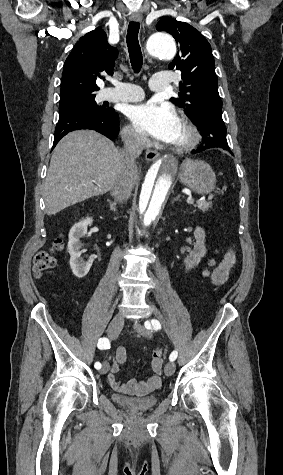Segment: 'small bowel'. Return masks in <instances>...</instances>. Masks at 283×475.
I'll use <instances>...</instances> for the list:
<instances>
[{
  "mask_svg": "<svg viewBox=\"0 0 283 475\" xmlns=\"http://www.w3.org/2000/svg\"><path fill=\"white\" fill-rule=\"evenodd\" d=\"M236 260H237L236 251L234 250V248L229 247L226 250L222 261L219 263L217 270L213 271V273L210 274V276H205V277L209 278L211 282L215 285L224 284L227 281L230 271L232 267L235 265ZM126 359H127L126 350L123 347H119L116 351V357L113 363L111 364L110 372L107 375L108 383L115 390L124 389V386H122L120 382L117 380V374L119 373L121 366L126 362ZM161 375H162V369H153V375L148 379V383L151 384L152 386L158 385L161 381ZM130 382L134 383L135 379L131 378ZM140 382L144 383L145 379L141 378Z\"/></svg>",
  "mask_w": 283,
  "mask_h": 475,
  "instance_id": "c3829d8e",
  "label": "small bowel"
}]
</instances>
